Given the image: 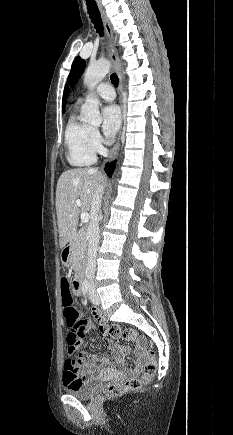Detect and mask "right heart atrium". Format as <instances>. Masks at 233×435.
Wrapping results in <instances>:
<instances>
[{"instance_id":"obj_1","label":"right heart atrium","mask_w":233,"mask_h":435,"mask_svg":"<svg viewBox=\"0 0 233 435\" xmlns=\"http://www.w3.org/2000/svg\"><path fill=\"white\" fill-rule=\"evenodd\" d=\"M90 144H91V147L95 153L100 152L103 148L102 137L96 129L91 130Z\"/></svg>"}]
</instances>
